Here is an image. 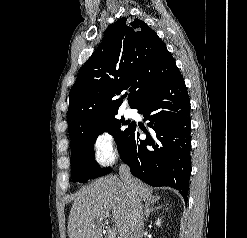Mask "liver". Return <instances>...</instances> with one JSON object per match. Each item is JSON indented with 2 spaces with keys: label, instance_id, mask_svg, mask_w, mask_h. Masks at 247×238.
Masks as SVG:
<instances>
[{
  "label": "liver",
  "instance_id": "1",
  "mask_svg": "<svg viewBox=\"0 0 247 238\" xmlns=\"http://www.w3.org/2000/svg\"><path fill=\"white\" fill-rule=\"evenodd\" d=\"M134 185L139 199L153 198L152 188L138 179ZM110 211L120 238H129L130 198L121 179L113 175L96 179L76 193L68 221L69 238H102L101 221Z\"/></svg>",
  "mask_w": 247,
  "mask_h": 238
}]
</instances>
